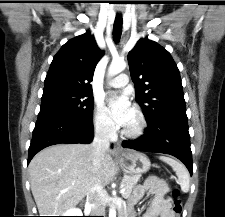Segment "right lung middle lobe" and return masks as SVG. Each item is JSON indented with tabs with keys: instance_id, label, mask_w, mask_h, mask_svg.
<instances>
[{
	"instance_id": "dd1d6c3e",
	"label": "right lung middle lobe",
	"mask_w": 225,
	"mask_h": 217,
	"mask_svg": "<svg viewBox=\"0 0 225 217\" xmlns=\"http://www.w3.org/2000/svg\"><path fill=\"white\" fill-rule=\"evenodd\" d=\"M94 100L90 94L53 91L43 93L40 112H56L76 118L92 114Z\"/></svg>"
}]
</instances>
